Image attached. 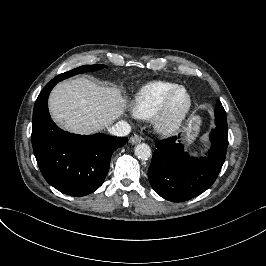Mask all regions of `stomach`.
Segmentation results:
<instances>
[{"label": "stomach", "mask_w": 266, "mask_h": 266, "mask_svg": "<svg viewBox=\"0 0 266 266\" xmlns=\"http://www.w3.org/2000/svg\"><path fill=\"white\" fill-rule=\"evenodd\" d=\"M198 127H199V119H197L195 116H192L189 119V130H188L191 139H193L194 136L197 134Z\"/></svg>", "instance_id": "obj_1"}]
</instances>
